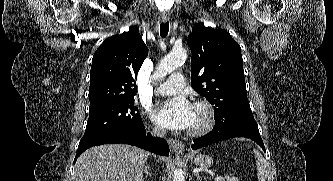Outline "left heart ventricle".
I'll return each mask as SVG.
<instances>
[{"label":"left heart ventricle","instance_id":"1","mask_svg":"<svg viewBox=\"0 0 333 181\" xmlns=\"http://www.w3.org/2000/svg\"><path fill=\"white\" fill-rule=\"evenodd\" d=\"M202 120V112L200 109L194 107V117H193V122L190 128H194L200 124Z\"/></svg>","mask_w":333,"mask_h":181}]
</instances>
